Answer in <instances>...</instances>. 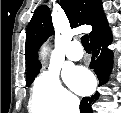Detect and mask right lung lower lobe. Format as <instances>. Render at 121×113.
<instances>
[{
  "label": "right lung lower lobe",
  "instance_id": "right-lung-lower-lobe-1",
  "mask_svg": "<svg viewBox=\"0 0 121 113\" xmlns=\"http://www.w3.org/2000/svg\"><path fill=\"white\" fill-rule=\"evenodd\" d=\"M92 48V60L90 67L94 69L99 84L104 85L108 80V74L112 68V57L113 53L107 46L112 41V35L110 28L107 27L105 30L91 38ZM99 98V93L91 97H84L80 104V113H92L91 104Z\"/></svg>",
  "mask_w": 121,
  "mask_h": 113
}]
</instances>
